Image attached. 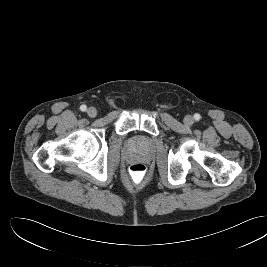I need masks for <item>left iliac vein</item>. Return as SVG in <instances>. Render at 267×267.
<instances>
[{
  "instance_id": "left-iliac-vein-1",
  "label": "left iliac vein",
  "mask_w": 267,
  "mask_h": 267,
  "mask_svg": "<svg viewBox=\"0 0 267 267\" xmlns=\"http://www.w3.org/2000/svg\"><path fill=\"white\" fill-rule=\"evenodd\" d=\"M184 123L190 126L194 123V118L191 115H187L184 117Z\"/></svg>"
}]
</instances>
